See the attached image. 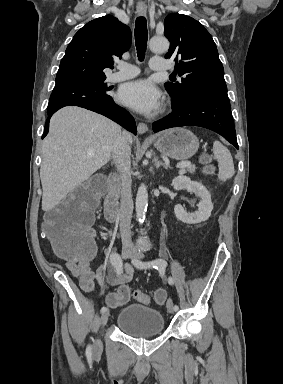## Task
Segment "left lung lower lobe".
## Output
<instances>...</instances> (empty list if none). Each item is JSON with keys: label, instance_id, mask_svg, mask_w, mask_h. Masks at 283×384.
Wrapping results in <instances>:
<instances>
[{"label": "left lung lower lobe", "instance_id": "obj_1", "mask_svg": "<svg viewBox=\"0 0 283 384\" xmlns=\"http://www.w3.org/2000/svg\"><path fill=\"white\" fill-rule=\"evenodd\" d=\"M200 126L222 135L238 149L227 93L199 94L183 102L172 101V113L153 123V131Z\"/></svg>", "mask_w": 283, "mask_h": 384}]
</instances>
